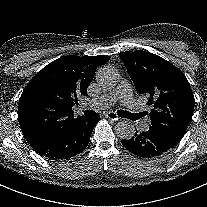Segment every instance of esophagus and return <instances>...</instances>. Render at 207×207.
Returning a JSON list of instances; mask_svg holds the SVG:
<instances>
[{
  "label": "esophagus",
  "mask_w": 207,
  "mask_h": 207,
  "mask_svg": "<svg viewBox=\"0 0 207 207\" xmlns=\"http://www.w3.org/2000/svg\"><path fill=\"white\" fill-rule=\"evenodd\" d=\"M106 117L109 119V120H113V121H117L119 119V116L113 112V111H110L106 114Z\"/></svg>",
  "instance_id": "esophagus-1"
}]
</instances>
